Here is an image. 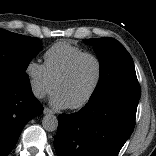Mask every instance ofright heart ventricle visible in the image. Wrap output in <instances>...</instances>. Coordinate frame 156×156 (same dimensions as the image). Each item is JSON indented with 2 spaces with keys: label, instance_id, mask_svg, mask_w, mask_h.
Masks as SVG:
<instances>
[{
  "label": "right heart ventricle",
  "instance_id": "e07e8e85",
  "mask_svg": "<svg viewBox=\"0 0 156 156\" xmlns=\"http://www.w3.org/2000/svg\"><path fill=\"white\" fill-rule=\"evenodd\" d=\"M83 52L85 51L80 47L66 41L52 45L44 54V65L52 81L55 83L70 62Z\"/></svg>",
  "mask_w": 156,
  "mask_h": 156
}]
</instances>
